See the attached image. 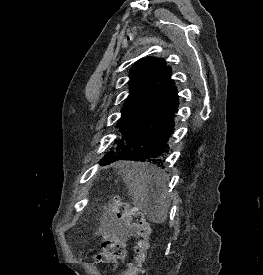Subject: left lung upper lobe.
Instances as JSON below:
<instances>
[{"label":"left lung upper lobe","mask_w":263,"mask_h":275,"mask_svg":"<svg viewBox=\"0 0 263 275\" xmlns=\"http://www.w3.org/2000/svg\"><path fill=\"white\" fill-rule=\"evenodd\" d=\"M164 59L148 57L139 60L130 71V93L122 108V117L117 127L130 117L144 97L154 89L168 70Z\"/></svg>","instance_id":"obj_1"}]
</instances>
